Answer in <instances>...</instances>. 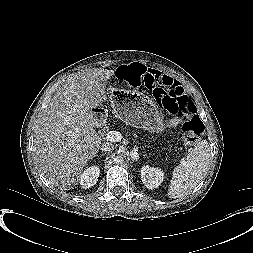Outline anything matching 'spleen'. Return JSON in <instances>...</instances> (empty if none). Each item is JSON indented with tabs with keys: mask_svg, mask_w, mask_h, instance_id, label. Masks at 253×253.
<instances>
[{
	"mask_svg": "<svg viewBox=\"0 0 253 253\" xmlns=\"http://www.w3.org/2000/svg\"><path fill=\"white\" fill-rule=\"evenodd\" d=\"M210 161V147L207 141L199 142L190 149L185 160L175 167L168 189L170 198H183L202 180Z\"/></svg>",
	"mask_w": 253,
	"mask_h": 253,
	"instance_id": "spleen-1",
	"label": "spleen"
}]
</instances>
